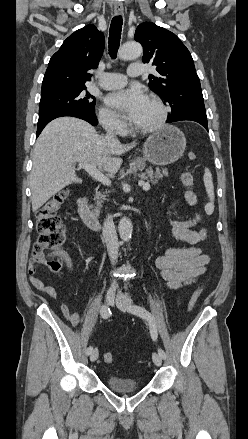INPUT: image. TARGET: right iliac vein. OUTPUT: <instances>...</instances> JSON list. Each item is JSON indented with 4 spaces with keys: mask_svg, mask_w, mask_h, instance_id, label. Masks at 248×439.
<instances>
[{
    "mask_svg": "<svg viewBox=\"0 0 248 439\" xmlns=\"http://www.w3.org/2000/svg\"><path fill=\"white\" fill-rule=\"evenodd\" d=\"M115 297H116L115 290H114L113 288H110V289L107 291V294H106V302H107V304H108V305H113V303H114V301H115ZM98 355H99L98 349H94V350L90 353V356H89L90 361H91V362L96 361L97 358H98Z\"/></svg>",
    "mask_w": 248,
    "mask_h": 439,
    "instance_id": "63e3f726",
    "label": "right iliac vein"
}]
</instances>
